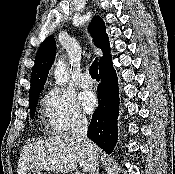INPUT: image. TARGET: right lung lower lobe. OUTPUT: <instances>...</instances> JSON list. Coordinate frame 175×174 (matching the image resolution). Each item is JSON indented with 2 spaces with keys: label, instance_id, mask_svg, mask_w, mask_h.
I'll use <instances>...</instances> for the list:
<instances>
[{
  "label": "right lung lower lobe",
  "instance_id": "98d812e1",
  "mask_svg": "<svg viewBox=\"0 0 175 174\" xmlns=\"http://www.w3.org/2000/svg\"><path fill=\"white\" fill-rule=\"evenodd\" d=\"M100 76L99 106L92 116L87 135L104 151L111 153L117 142L119 111L118 81L112 60L100 68Z\"/></svg>",
  "mask_w": 175,
  "mask_h": 174
}]
</instances>
